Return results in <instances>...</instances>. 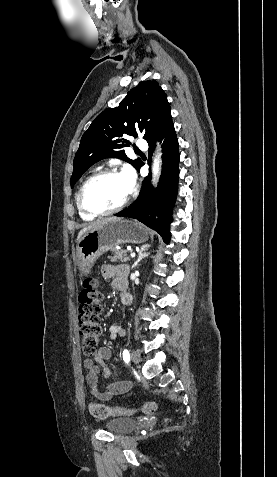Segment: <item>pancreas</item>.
Here are the masks:
<instances>
[{
  "label": "pancreas",
  "instance_id": "1",
  "mask_svg": "<svg viewBox=\"0 0 277 477\" xmlns=\"http://www.w3.org/2000/svg\"><path fill=\"white\" fill-rule=\"evenodd\" d=\"M112 256H109L108 259H110L112 262H127L130 260V257L127 255L126 250H116L112 249Z\"/></svg>",
  "mask_w": 277,
  "mask_h": 477
}]
</instances>
